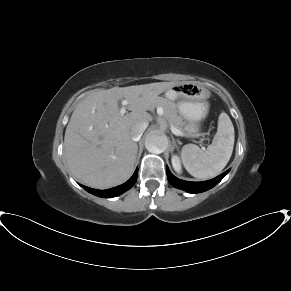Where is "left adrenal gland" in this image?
Here are the masks:
<instances>
[{
  "instance_id": "obj_1",
  "label": "left adrenal gland",
  "mask_w": 291,
  "mask_h": 291,
  "mask_svg": "<svg viewBox=\"0 0 291 291\" xmlns=\"http://www.w3.org/2000/svg\"><path fill=\"white\" fill-rule=\"evenodd\" d=\"M172 141H173V147H176L178 149L177 143L174 138H172Z\"/></svg>"
}]
</instances>
